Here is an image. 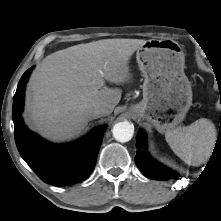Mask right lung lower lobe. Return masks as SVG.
<instances>
[{"mask_svg":"<svg viewBox=\"0 0 221 221\" xmlns=\"http://www.w3.org/2000/svg\"><path fill=\"white\" fill-rule=\"evenodd\" d=\"M31 70L21 77L13 99L12 118L18 151L36 175L48 184L66 186L81 182L94 169L105 127H97L87 137L65 145L48 143L31 132L21 118L25 84Z\"/></svg>","mask_w":221,"mask_h":221,"instance_id":"right-lung-lower-lobe-1","label":"right lung lower lobe"}]
</instances>
